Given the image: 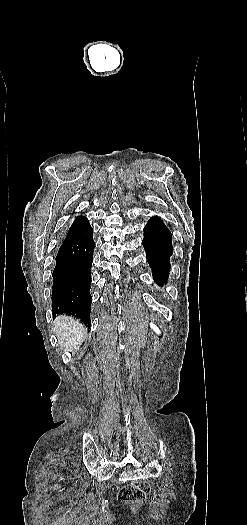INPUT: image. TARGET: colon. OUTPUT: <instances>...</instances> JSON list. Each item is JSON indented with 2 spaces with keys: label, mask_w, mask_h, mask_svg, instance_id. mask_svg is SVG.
<instances>
[{
  "label": "colon",
  "mask_w": 247,
  "mask_h": 525,
  "mask_svg": "<svg viewBox=\"0 0 247 525\" xmlns=\"http://www.w3.org/2000/svg\"><path fill=\"white\" fill-rule=\"evenodd\" d=\"M151 492V485L147 481H140L135 486H124L117 493L121 502L142 501Z\"/></svg>",
  "instance_id": "1"
}]
</instances>
